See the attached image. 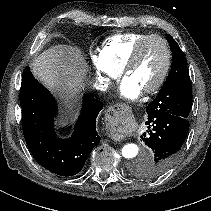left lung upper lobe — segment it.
Returning a JSON list of instances; mask_svg holds the SVG:
<instances>
[{
  "label": "left lung upper lobe",
  "mask_w": 211,
  "mask_h": 211,
  "mask_svg": "<svg viewBox=\"0 0 211 211\" xmlns=\"http://www.w3.org/2000/svg\"><path fill=\"white\" fill-rule=\"evenodd\" d=\"M172 51V65L169 75L157 97L147 106L148 117L160 114H172L185 119L189 118L192 106V87L187 62L177 42L166 34ZM137 172L144 176L143 169Z\"/></svg>",
  "instance_id": "1"
}]
</instances>
